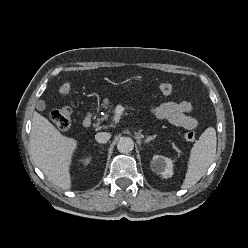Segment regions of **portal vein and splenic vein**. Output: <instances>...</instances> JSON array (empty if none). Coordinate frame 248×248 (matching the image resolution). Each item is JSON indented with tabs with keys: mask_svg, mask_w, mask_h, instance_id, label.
<instances>
[{
	"mask_svg": "<svg viewBox=\"0 0 248 248\" xmlns=\"http://www.w3.org/2000/svg\"><path fill=\"white\" fill-rule=\"evenodd\" d=\"M121 114H122V109L121 108L120 109H117L116 110V115L114 117V121L115 122H119V119L121 118Z\"/></svg>",
	"mask_w": 248,
	"mask_h": 248,
	"instance_id": "portal-vein-and-splenic-vein-1",
	"label": "portal vein and splenic vein"
}]
</instances>
